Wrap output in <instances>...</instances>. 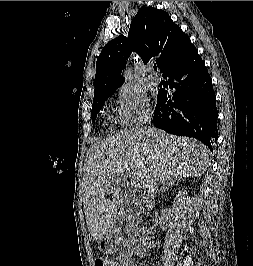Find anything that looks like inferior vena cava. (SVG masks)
<instances>
[{
	"mask_svg": "<svg viewBox=\"0 0 253 266\" xmlns=\"http://www.w3.org/2000/svg\"><path fill=\"white\" fill-rule=\"evenodd\" d=\"M151 122V114L144 115L143 123L150 124ZM150 127L148 126V129L145 127V133L149 134ZM159 179V178H158ZM157 186H158V180L156 179L154 182H151L150 185L147 186V191L145 192V204L149 203L152 199H154L155 194L157 192Z\"/></svg>",
	"mask_w": 253,
	"mask_h": 266,
	"instance_id": "602c4592",
	"label": "inferior vena cava"
}]
</instances>
